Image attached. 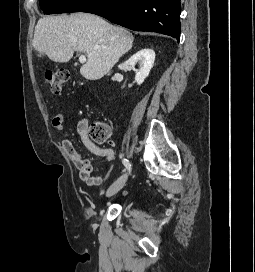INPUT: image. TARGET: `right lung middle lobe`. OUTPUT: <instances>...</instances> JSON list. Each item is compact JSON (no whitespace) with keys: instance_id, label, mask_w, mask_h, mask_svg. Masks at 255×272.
I'll return each mask as SVG.
<instances>
[{"instance_id":"1","label":"right lung middle lobe","mask_w":255,"mask_h":272,"mask_svg":"<svg viewBox=\"0 0 255 272\" xmlns=\"http://www.w3.org/2000/svg\"><path fill=\"white\" fill-rule=\"evenodd\" d=\"M96 0H40L45 14L79 12Z\"/></svg>"}]
</instances>
